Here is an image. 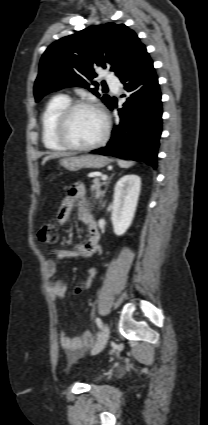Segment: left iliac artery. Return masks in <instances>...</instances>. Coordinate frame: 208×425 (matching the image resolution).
Wrapping results in <instances>:
<instances>
[{
	"mask_svg": "<svg viewBox=\"0 0 208 425\" xmlns=\"http://www.w3.org/2000/svg\"><path fill=\"white\" fill-rule=\"evenodd\" d=\"M96 323H97V326L101 329L102 328V321H101V319L100 318H96Z\"/></svg>",
	"mask_w": 208,
	"mask_h": 425,
	"instance_id": "44dca946",
	"label": "left iliac artery"
}]
</instances>
